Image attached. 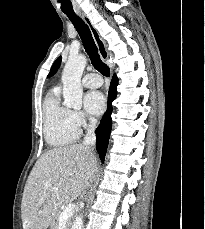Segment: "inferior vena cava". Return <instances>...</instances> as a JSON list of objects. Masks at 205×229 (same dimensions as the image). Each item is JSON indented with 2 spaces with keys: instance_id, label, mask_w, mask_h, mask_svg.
<instances>
[{
  "instance_id": "obj_1",
  "label": "inferior vena cava",
  "mask_w": 205,
  "mask_h": 229,
  "mask_svg": "<svg viewBox=\"0 0 205 229\" xmlns=\"http://www.w3.org/2000/svg\"><path fill=\"white\" fill-rule=\"evenodd\" d=\"M89 120L90 123L88 125L86 136L84 137L83 146L88 151H91L96 141L95 127H96L97 120L95 118H90ZM92 180L93 179H91V181L87 183V188L91 186L90 183H92Z\"/></svg>"
}]
</instances>
